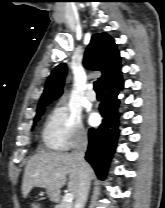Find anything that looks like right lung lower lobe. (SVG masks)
<instances>
[{
    "label": "right lung lower lobe",
    "instance_id": "1",
    "mask_svg": "<svg viewBox=\"0 0 165 208\" xmlns=\"http://www.w3.org/2000/svg\"><path fill=\"white\" fill-rule=\"evenodd\" d=\"M123 84L120 74L103 86L104 99L99 106L103 117L102 124L96 129L90 128L88 133L89 145L85 159L93 166L100 179H104L109 160L117 145L119 135L117 108L120 103L117 96Z\"/></svg>",
    "mask_w": 165,
    "mask_h": 208
}]
</instances>
